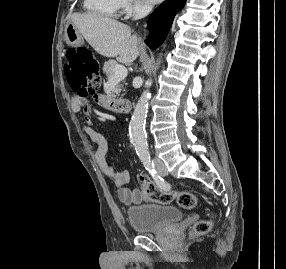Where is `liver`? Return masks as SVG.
<instances>
[{
	"instance_id": "obj_1",
	"label": "liver",
	"mask_w": 286,
	"mask_h": 269,
	"mask_svg": "<svg viewBox=\"0 0 286 269\" xmlns=\"http://www.w3.org/2000/svg\"><path fill=\"white\" fill-rule=\"evenodd\" d=\"M70 22L104 57H116L119 62L130 64L140 54L142 41L137 35H131V28L126 24L96 13H74Z\"/></svg>"
}]
</instances>
